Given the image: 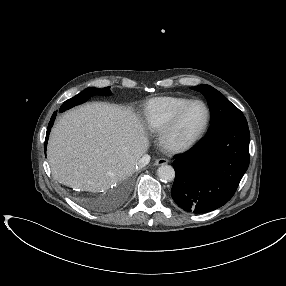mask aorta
Returning <instances> with one entry per match:
<instances>
[{"label": "aorta", "instance_id": "762f6f07", "mask_svg": "<svg viewBox=\"0 0 286 286\" xmlns=\"http://www.w3.org/2000/svg\"><path fill=\"white\" fill-rule=\"evenodd\" d=\"M157 175L161 181L170 182L175 177V171L170 165H161L157 170Z\"/></svg>", "mask_w": 286, "mask_h": 286}]
</instances>
